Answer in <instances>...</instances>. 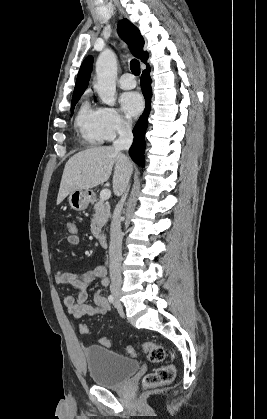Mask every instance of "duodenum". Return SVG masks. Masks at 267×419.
<instances>
[{"mask_svg": "<svg viewBox=\"0 0 267 419\" xmlns=\"http://www.w3.org/2000/svg\"><path fill=\"white\" fill-rule=\"evenodd\" d=\"M98 240L102 246L107 244V235L104 232L99 233Z\"/></svg>", "mask_w": 267, "mask_h": 419, "instance_id": "1", "label": "duodenum"}]
</instances>
